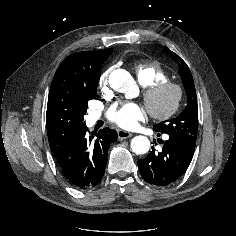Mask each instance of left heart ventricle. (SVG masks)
I'll return each instance as SVG.
<instances>
[{"mask_svg":"<svg viewBox=\"0 0 236 236\" xmlns=\"http://www.w3.org/2000/svg\"><path fill=\"white\" fill-rule=\"evenodd\" d=\"M174 93L172 90L161 92L154 100L153 107L157 110L165 109L172 101Z\"/></svg>","mask_w":236,"mask_h":236,"instance_id":"1","label":"left heart ventricle"}]
</instances>
